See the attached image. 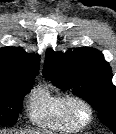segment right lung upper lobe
I'll return each instance as SVG.
<instances>
[{
  "mask_svg": "<svg viewBox=\"0 0 116 134\" xmlns=\"http://www.w3.org/2000/svg\"><path fill=\"white\" fill-rule=\"evenodd\" d=\"M37 57L20 47L0 49V89L15 91L35 77L39 69Z\"/></svg>",
  "mask_w": 116,
  "mask_h": 134,
  "instance_id": "right-lung-upper-lobe-1",
  "label": "right lung upper lobe"
}]
</instances>
